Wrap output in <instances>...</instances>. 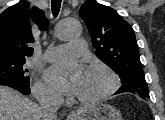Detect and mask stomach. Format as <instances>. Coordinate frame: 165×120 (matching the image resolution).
Wrapping results in <instances>:
<instances>
[{"instance_id": "stomach-1", "label": "stomach", "mask_w": 165, "mask_h": 120, "mask_svg": "<svg viewBox=\"0 0 165 120\" xmlns=\"http://www.w3.org/2000/svg\"><path fill=\"white\" fill-rule=\"evenodd\" d=\"M73 120H123L118 109L109 104H96L83 108Z\"/></svg>"}]
</instances>
